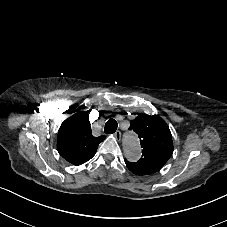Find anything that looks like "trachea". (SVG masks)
<instances>
[{
	"label": "trachea",
	"mask_w": 227,
	"mask_h": 227,
	"mask_svg": "<svg viewBox=\"0 0 227 227\" xmlns=\"http://www.w3.org/2000/svg\"><path fill=\"white\" fill-rule=\"evenodd\" d=\"M117 127V122L114 119H110L105 124L104 132L106 134L114 133L117 130Z\"/></svg>",
	"instance_id": "1"
}]
</instances>
